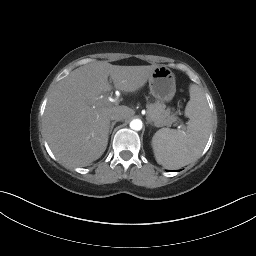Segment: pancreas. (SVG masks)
<instances>
[{"label": "pancreas", "instance_id": "1", "mask_svg": "<svg viewBox=\"0 0 256 256\" xmlns=\"http://www.w3.org/2000/svg\"><path fill=\"white\" fill-rule=\"evenodd\" d=\"M177 116L171 114L163 102L157 101L147 105V120L156 127L170 126L177 121Z\"/></svg>", "mask_w": 256, "mask_h": 256}]
</instances>
